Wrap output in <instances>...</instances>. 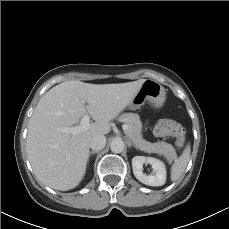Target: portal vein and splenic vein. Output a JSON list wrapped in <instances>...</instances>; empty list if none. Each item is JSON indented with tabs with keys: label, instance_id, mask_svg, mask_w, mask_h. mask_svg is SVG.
Instances as JSON below:
<instances>
[{
	"label": "portal vein and splenic vein",
	"instance_id": "portal-vein-and-splenic-vein-1",
	"mask_svg": "<svg viewBox=\"0 0 229 229\" xmlns=\"http://www.w3.org/2000/svg\"><path fill=\"white\" fill-rule=\"evenodd\" d=\"M89 128H90V116L88 114H85L80 121V125L74 126V127H63L60 130L64 133H70L74 135V134L86 131ZM122 129L126 133V131L128 130V125L123 124Z\"/></svg>",
	"mask_w": 229,
	"mask_h": 229
}]
</instances>
